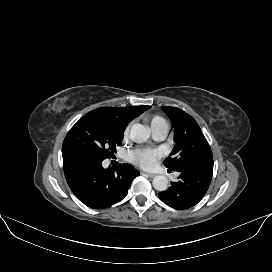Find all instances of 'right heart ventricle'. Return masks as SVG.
Returning a JSON list of instances; mask_svg holds the SVG:
<instances>
[{"instance_id": "1", "label": "right heart ventricle", "mask_w": 272, "mask_h": 272, "mask_svg": "<svg viewBox=\"0 0 272 272\" xmlns=\"http://www.w3.org/2000/svg\"><path fill=\"white\" fill-rule=\"evenodd\" d=\"M147 121H148L152 131L162 129V128H168L167 121L159 115L150 116L147 119Z\"/></svg>"}]
</instances>
